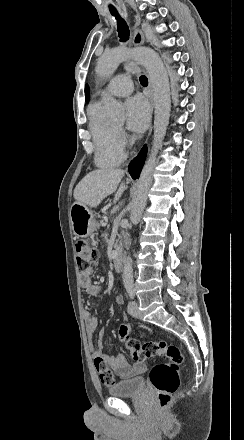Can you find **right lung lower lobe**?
Segmentation results:
<instances>
[{"instance_id":"98d812e1","label":"right lung lower lobe","mask_w":244,"mask_h":440,"mask_svg":"<svg viewBox=\"0 0 244 440\" xmlns=\"http://www.w3.org/2000/svg\"><path fill=\"white\" fill-rule=\"evenodd\" d=\"M147 155V146L144 145L139 154L131 161L128 170L133 179H138Z\"/></svg>"}]
</instances>
